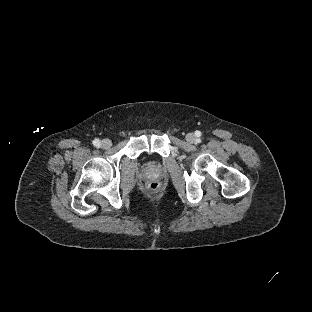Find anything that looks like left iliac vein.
<instances>
[{
  "mask_svg": "<svg viewBox=\"0 0 312 312\" xmlns=\"http://www.w3.org/2000/svg\"><path fill=\"white\" fill-rule=\"evenodd\" d=\"M186 140H187L188 142H191V143L194 142V140H195V135H194L193 133L187 134Z\"/></svg>",
  "mask_w": 312,
  "mask_h": 312,
  "instance_id": "4c4485c4",
  "label": "left iliac vein"
}]
</instances>
